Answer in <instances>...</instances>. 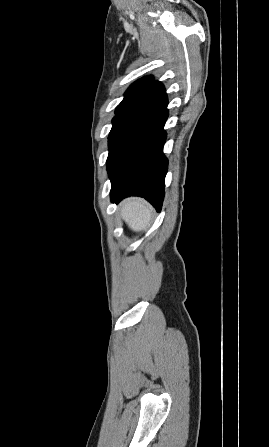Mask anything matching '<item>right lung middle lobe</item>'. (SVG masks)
<instances>
[{"instance_id":"obj_1","label":"right lung middle lobe","mask_w":269,"mask_h":447,"mask_svg":"<svg viewBox=\"0 0 269 447\" xmlns=\"http://www.w3.org/2000/svg\"><path fill=\"white\" fill-rule=\"evenodd\" d=\"M126 116H127V114H125V113H116V116L113 118V127L111 130V133L114 130V128L117 126V124Z\"/></svg>"}]
</instances>
